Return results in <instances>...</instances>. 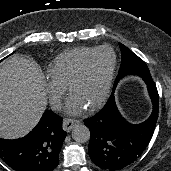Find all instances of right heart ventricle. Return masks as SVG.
Listing matches in <instances>:
<instances>
[{
  "instance_id": "1",
  "label": "right heart ventricle",
  "mask_w": 171,
  "mask_h": 171,
  "mask_svg": "<svg viewBox=\"0 0 171 171\" xmlns=\"http://www.w3.org/2000/svg\"><path fill=\"white\" fill-rule=\"evenodd\" d=\"M95 49L92 47H81L62 52L50 65L48 75L67 87L78 67Z\"/></svg>"
}]
</instances>
